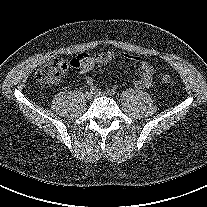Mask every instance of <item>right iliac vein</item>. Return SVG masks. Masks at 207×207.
<instances>
[{
	"label": "right iliac vein",
	"mask_w": 207,
	"mask_h": 207,
	"mask_svg": "<svg viewBox=\"0 0 207 207\" xmlns=\"http://www.w3.org/2000/svg\"><path fill=\"white\" fill-rule=\"evenodd\" d=\"M94 97L93 93H91L90 91L85 93V98L87 100H91Z\"/></svg>",
	"instance_id": "obj_1"
}]
</instances>
